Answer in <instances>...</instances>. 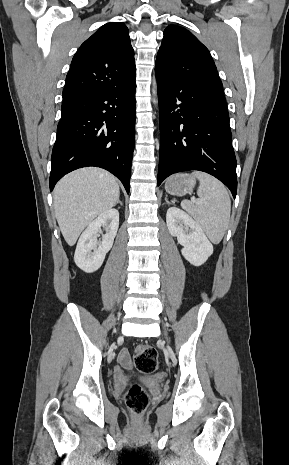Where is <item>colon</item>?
Wrapping results in <instances>:
<instances>
[{
  "label": "colon",
  "instance_id": "colon-1",
  "mask_svg": "<svg viewBox=\"0 0 289 465\" xmlns=\"http://www.w3.org/2000/svg\"><path fill=\"white\" fill-rule=\"evenodd\" d=\"M138 371L145 374L155 372L159 366V357L156 349L150 345H139L134 356ZM147 391L139 384H132L125 393L127 407L135 414L142 413L149 403Z\"/></svg>",
  "mask_w": 289,
  "mask_h": 465
}]
</instances>
